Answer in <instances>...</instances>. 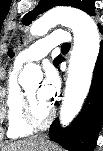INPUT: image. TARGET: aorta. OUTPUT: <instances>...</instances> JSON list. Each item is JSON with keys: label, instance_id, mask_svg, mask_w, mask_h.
I'll list each match as a JSON object with an SVG mask.
<instances>
[{"label": "aorta", "instance_id": "obj_1", "mask_svg": "<svg viewBox=\"0 0 103 151\" xmlns=\"http://www.w3.org/2000/svg\"><path fill=\"white\" fill-rule=\"evenodd\" d=\"M57 24L70 27L74 34V46L60 113L61 124L67 126L80 112L88 95L99 54L100 37L97 26L89 15L67 7H57L46 12L32 24L30 32L32 35L42 36ZM35 70V65L28 64L21 76L27 77Z\"/></svg>", "mask_w": 103, "mask_h": 151}]
</instances>
